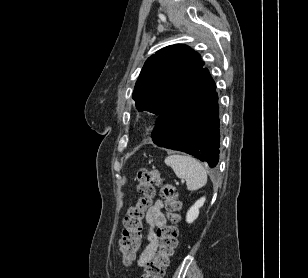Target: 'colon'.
<instances>
[{
    "mask_svg": "<svg viewBox=\"0 0 308 278\" xmlns=\"http://www.w3.org/2000/svg\"><path fill=\"white\" fill-rule=\"evenodd\" d=\"M137 190L139 198L137 203L130 207L124 219V230L120 240V255L125 264H130L136 257L141 245V232L143 218L151 206L155 188H161V196L165 200L169 224L157 230L158 249L144 267L141 278H163L170 258L176 246L179 221L180 202L174 186L164 183L157 170L140 169L137 174Z\"/></svg>",
    "mask_w": 308,
    "mask_h": 278,
    "instance_id": "obj_1",
    "label": "colon"
}]
</instances>
